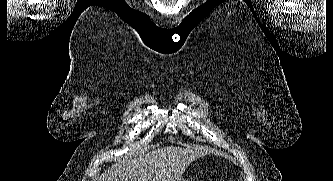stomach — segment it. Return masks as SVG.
I'll return each instance as SVG.
<instances>
[{"label":"stomach","instance_id":"0dacf381","mask_svg":"<svg viewBox=\"0 0 333 181\" xmlns=\"http://www.w3.org/2000/svg\"><path fill=\"white\" fill-rule=\"evenodd\" d=\"M178 181H190V180H188L186 178H180Z\"/></svg>","mask_w":333,"mask_h":181}]
</instances>
